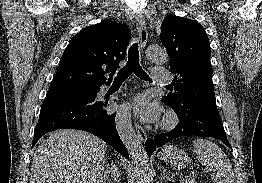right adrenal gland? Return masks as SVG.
Masks as SVG:
<instances>
[{
	"mask_svg": "<svg viewBox=\"0 0 262 183\" xmlns=\"http://www.w3.org/2000/svg\"><path fill=\"white\" fill-rule=\"evenodd\" d=\"M104 174H105L104 175L105 180L114 181V183L117 182V177H118L117 168L113 163H108L107 161H105Z\"/></svg>",
	"mask_w": 262,
	"mask_h": 183,
	"instance_id": "obj_1",
	"label": "right adrenal gland"
}]
</instances>
